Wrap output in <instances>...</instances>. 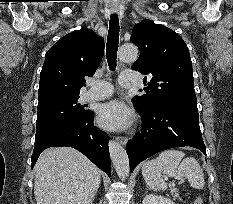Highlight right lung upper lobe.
<instances>
[{
    "mask_svg": "<svg viewBox=\"0 0 233 204\" xmlns=\"http://www.w3.org/2000/svg\"><path fill=\"white\" fill-rule=\"evenodd\" d=\"M104 52V39L86 27L60 38L46 53L40 73L39 101L80 94Z\"/></svg>",
    "mask_w": 233,
    "mask_h": 204,
    "instance_id": "cb5924a9",
    "label": "right lung upper lobe"
}]
</instances>
